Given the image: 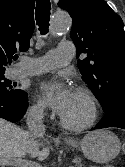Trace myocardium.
Returning <instances> with one entry per match:
<instances>
[{"mask_svg": "<svg viewBox=\"0 0 125 167\" xmlns=\"http://www.w3.org/2000/svg\"><path fill=\"white\" fill-rule=\"evenodd\" d=\"M76 92L83 95L91 107V114H90L89 119L83 124H72V123L66 121L63 118V116H61L60 122L64 128L71 130V131L79 132V131H84V130L90 128L95 123V121L98 117V104H97V100H96L95 96L88 88L83 87V86H78L76 88Z\"/></svg>", "mask_w": 125, "mask_h": 167, "instance_id": "f54148a6", "label": "myocardium"}]
</instances>
